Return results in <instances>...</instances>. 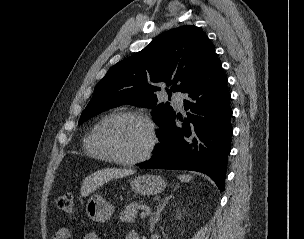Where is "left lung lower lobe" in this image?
I'll return each instance as SVG.
<instances>
[{
  "label": "left lung lower lobe",
  "instance_id": "obj_1",
  "mask_svg": "<svg viewBox=\"0 0 304 239\" xmlns=\"http://www.w3.org/2000/svg\"><path fill=\"white\" fill-rule=\"evenodd\" d=\"M185 93L187 118L174 114L158 132L160 144L151 159L138 166L202 172L223 191L233 133L232 109L227 80L216 54ZM176 119L182 126L176 125Z\"/></svg>",
  "mask_w": 304,
  "mask_h": 239
}]
</instances>
